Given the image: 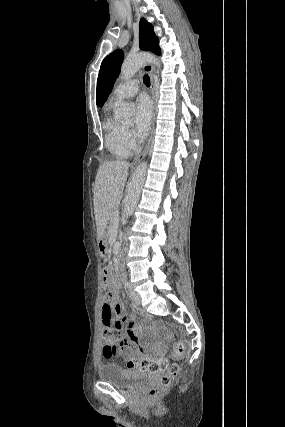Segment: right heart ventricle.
Wrapping results in <instances>:
<instances>
[{"label":"right heart ventricle","instance_id":"obj_1","mask_svg":"<svg viewBox=\"0 0 285 427\" xmlns=\"http://www.w3.org/2000/svg\"><path fill=\"white\" fill-rule=\"evenodd\" d=\"M115 103H110L106 108V118L104 121L105 146L112 156L117 159L127 158L133 148L125 139V126L111 116Z\"/></svg>","mask_w":285,"mask_h":427}]
</instances>
